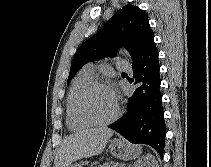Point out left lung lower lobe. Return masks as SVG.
I'll return each mask as SVG.
<instances>
[{"label":"left lung lower lobe","mask_w":211,"mask_h":167,"mask_svg":"<svg viewBox=\"0 0 211 167\" xmlns=\"http://www.w3.org/2000/svg\"><path fill=\"white\" fill-rule=\"evenodd\" d=\"M158 50L154 49L142 62L133 67V95L128 99L127 113L109 127L131 143L153 147L163 156L166 124L160 92Z\"/></svg>","instance_id":"0a47b994"}]
</instances>
